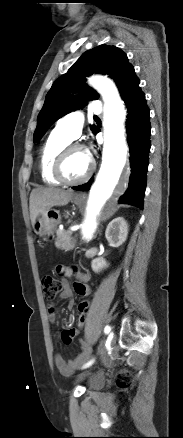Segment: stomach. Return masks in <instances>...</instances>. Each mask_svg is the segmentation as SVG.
I'll list each match as a JSON object with an SVG mask.
<instances>
[{
  "mask_svg": "<svg viewBox=\"0 0 183 438\" xmlns=\"http://www.w3.org/2000/svg\"><path fill=\"white\" fill-rule=\"evenodd\" d=\"M72 202L79 205L83 202L81 195H74ZM61 221V216L58 210L46 209L33 224L35 233L44 241H50L54 238V232L57 225Z\"/></svg>",
  "mask_w": 183,
  "mask_h": 438,
  "instance_id": "0dacf381",
  "label": "stomach"
}]
</instances>
